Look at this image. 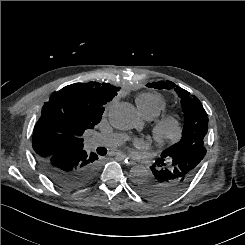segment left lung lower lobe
<instances>
[{
    "label": "left lung lower lobe",
    "mask_w": 245,
    "mask_h": 245,
    "mask_svg": "<svg viewBox=\"0 0 245 245\" xmlns=\"http://www.w3.org/2000/svg\"><path fill=\"white\" fill-rule=\"evenodd\" d=\"M205 154L204 145H190L160 158L150 167L154 176L138 184L139 193L153 201L174 197L190 183Z\"/></svg>",
    "instance_id": "1"
}]
</instances>
